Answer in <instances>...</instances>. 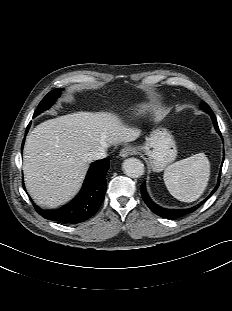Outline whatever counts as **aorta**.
<instances>
[{
	"label": "aorta",
	"instance_id": "1",
	"mask_svg": "<svg viewBox=\"0 0 232 311\" xmlns=\"http://www.w3.org/2000/svg\"><path fill=\"white\" fill-rule=\"evenodd\" d=\"M122 167L128 177L138 178L144 173V164L137 158L126 159Z\"/></svg>",
	"mask_w": 232,
	"mask_h": 311
}]
</instances>
